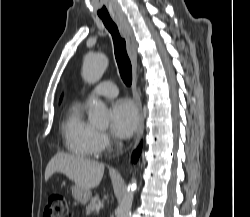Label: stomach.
Wrapping results in <instances>:
<instances>
[{"label": "stomach", "instance_id": "stomach-1", "mask_svg": "<svg viewBox=\"0 0 250 217\" xmlns=\"http://www.w3.org/2000/svg\"><path fill=\"white\" fill-rule=\"evenodd\" d=\"M72 195L74 199L81 205H86L91 198L90 189H81L76 186L72 187Z\"/></svg>", "mask_w": 250, "mask_h": 217}]
</instances>
